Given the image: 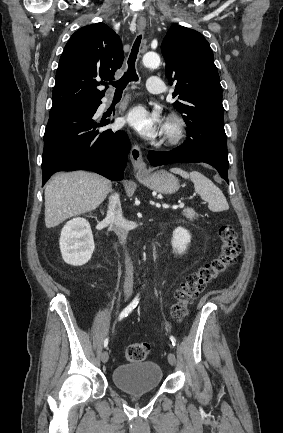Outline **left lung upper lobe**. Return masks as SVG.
Segmentation results:
<instances>
[{"label": "left lung upper lobe", "mask_w": 283, "mask_h": 433, "mask_svg": "<svg viewBox=\"0 0 283 433\" xmlns=\"http://www.w3.org/2000/svg\"><path fill=\"white\" fill-rule=\"evenodd\" d=\"M166 76L176 83L174 108L187 126L216 124L224 128L222 87L208 41L199 32L173 25L162 45Z\"/></svg>", "instance_id": "obj_1"}]
</instances>
